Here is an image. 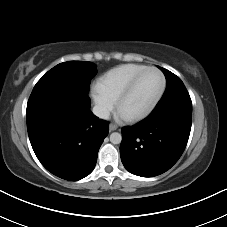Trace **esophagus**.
<instances>
[{
	"mask_svg": "<svg viewBox=\"0 0 227 227\" xmlns=\"http://www.w3.org/2000/svg\"><path fill=\"white\" fill-rule=\"evenodd\" d=\"M117 128H118V126H117L116 124H114V123H111V124L109 125V131H110V132H111V131H115Z\"/></svg>",
	"mask_w": 227,
	"mask_h": 227,
	"instance_id": "esophagus-1",
	"label": "esophagus"
}]
</instances>
